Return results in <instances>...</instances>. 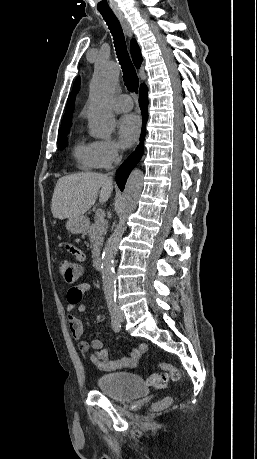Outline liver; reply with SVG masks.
Returning a JSON list of instances; mask_svg holds the SVG:
<instances>
[{
    "instance_id": "liver-1",
    "label": "liver",
    "mask_w": 257,
    "mask_h": 459,
    "mask_svg": "<svg viewBox=\"0 0 257 459\" xmlns=\"http://www.w3.org/2000/svg\"><path fill=\"white\" fill-rule=\"evenodd\" d=\"M113 191L107 175L82 172L59 178L54 188L51 212L54 218L83 216L96 202H106Z\"/></svg>"
}]
</instances>
